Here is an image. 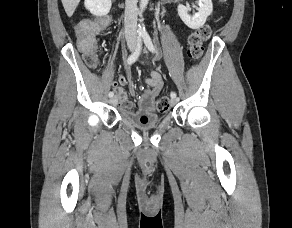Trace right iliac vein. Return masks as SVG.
I'll return each instance as SVG.
<instances>
[{"label": "right iliac vein", "mask_w": 292, "mask_h": 228, "mask_svg": "<svg viewBox=\"0 0 292 228\" xmlns=\"http://www.w3.org/2000/svg\"><path fill=\"white\" fill-rule=\"evenodd\" d=\"M128 48L132 51L135 49V43L134 42H129L128 43ZM110 103L115 105L117 103V97H112L110 99Z\"/></svg>", "instance_id": "right-iliac-vein-1"}]
</instances>
